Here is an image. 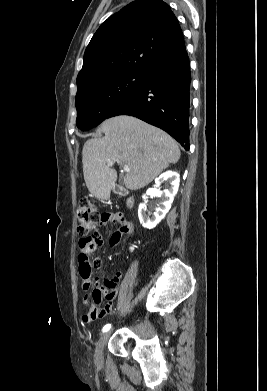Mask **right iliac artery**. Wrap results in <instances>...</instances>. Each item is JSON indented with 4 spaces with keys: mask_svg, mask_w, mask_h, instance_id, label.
Listing matches in <instances>:
<instances>
[{
    "mask_svg": "<svg viewBox=\"0 0 267 391\" xmlns=\"http://www.w3.org/2000/svg\"><path fill=\"white\" fill-rule=\"evenodd\" d=\"M111 328V324H107L103 327V332L108 331Z\"/></svg>",
    "mask_w": 267,
    "mask_h": 391,
    "instance_id": "obj_1",
    "label": "right iliac artery"
}]
</instances>
